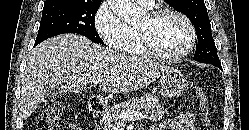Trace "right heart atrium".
I'll list each match as a JSON object with an SVG mask.
<instances>
[{
    "label": "right heart atrium",
    "instance_id": "right-heart-atrium-1",
    "mask_svg": "<svg viewBox=\"0 0 249 130\" xmlns=\"http://www.w3.org/2000/svg\"><path fill=\"white\" fill-rule=\"evenodd\" d=\"M93 25L99 37L108 47L115 50L122 49L127 34V26L107 2H102L97 8Z\"/></svg>",
    "mask_w": 249,
    "mask_h": 130
}]
</instances>
